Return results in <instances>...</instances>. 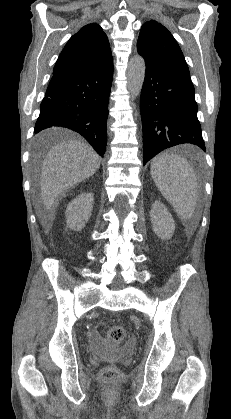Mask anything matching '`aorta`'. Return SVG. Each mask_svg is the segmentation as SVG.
Returning <instances> with one entry per match:
<instances>
[{
	"mask_svg": "<svg viewBox=\"0 0 231 419\" xmlns=\"http://www.w3.org/2000/svg\"><path fill=\"white\" fill-rule=\"evenodd\" d=\"M128 90L132 97L140 94L145 77V60L139 55L133 56L128 65Z\"/></svg>",
	"mask_w": 231,
	"mask_h": 419,
	"instance_id": "obj_1",
	"label": "aorta"
}]
</instances>
